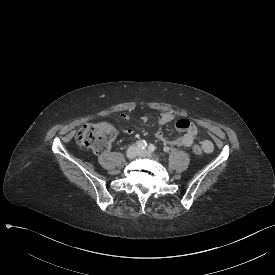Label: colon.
<instances>
[{"label":"colon","instance_id":"5ec220e1","mask_svg":"<svg viewBox=\"0 0 275 275\" xmlns=\"http://www.w3.org/2000/svg\"><path fill=\"white\" fill-rule=\"evenodd\" d=\"M116 135L117 129L110 122H88L81 127L76 139L81 147L89 148L98 153H106ZM205 149L206 147L204 148L202 145L194 146L196 154H202Z\"/></svg>","mask_w":275,"mask_h":275}]
</instances>
